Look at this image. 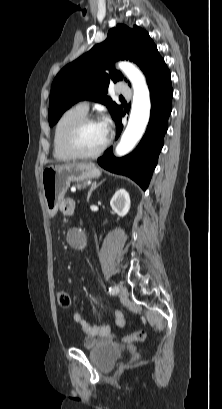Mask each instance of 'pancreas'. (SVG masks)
I'll use <instances>...</instances> for the list:
<instances>
[{
	"mask_svg": "<svg viewBox=\"0 0 222 409\" xmlns=\"http://www.w3.org/2000/svg\"><path fill=\"white\" fill-rule=\"evenodd\" d=\"M84 186H85V183H83V184H78V185H77V188H78V189H81V188L84 187Z\"/></svg>",
	"mask_w": 222,
	"mask_h": 409,
	"instance_id": "pancreas-1",
	"label": "pancreas"
}]
</instances>
